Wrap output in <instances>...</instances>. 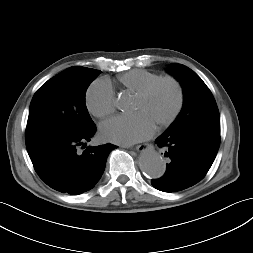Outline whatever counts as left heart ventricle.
<instances>
[{
	"instance_id": "b2bd125f",
	"label": "left heart ventricle",
	"mask_w": 253,
	"mask_h": 253,
	"mask_svg": "<svg viewBox=\"0 0 253 253\" xmlns=\"http://www.w3.org/2000/svg\"><path fill=\"white\" fill-rule=\"evenodd\" d=\"M176 104V91L169 83L159 85L147 98L136 97L133 110L144 112L155 123L166 119Z\"/></svg>"
}]
</instances>
